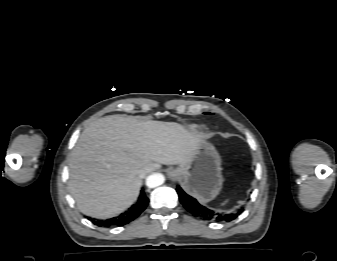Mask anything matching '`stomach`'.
Listing matches in <instances>:
<instances>
[{"label":"stomach","mask_w":337,"mask_h":261,"mask_svg":"<svg viewBox=\"0 0 337 261\" xmlns=\"http://www.w3.org/2000/svg\"><path fill=\"white\" fill-rule=\"evenodd\" d=\"M221 158L215 147L202 139L193 159L173 170L183 188L202 202L213 200L221 191L223 177Z\"/></svg>","instance_id":"0dacf381"}]
</instances>
